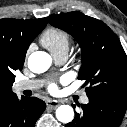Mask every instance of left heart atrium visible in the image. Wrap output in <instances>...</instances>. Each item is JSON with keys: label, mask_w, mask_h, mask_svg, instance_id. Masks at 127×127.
I'll return each mask as SVG.
<instances>
[{"label": "left heart atrium", "mask_w": 127, "mask_h": 127, "mask_svg": "<svg viewBox=\"0 0 127 127\" xmlns=\"http://www.w3.org/2000/svg\"><path fill=\"white\" fill-rule=\"evenodd\" d=\"M48 89H49L50 92L55 93V92H57L58 87H57L55 82H52V83L49 84Z\"/></svg>", "instance_id": "39dd6f15"}]
</instances>
